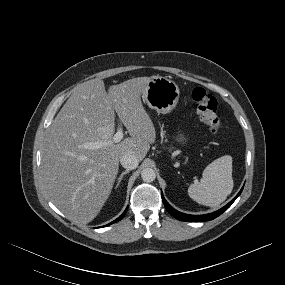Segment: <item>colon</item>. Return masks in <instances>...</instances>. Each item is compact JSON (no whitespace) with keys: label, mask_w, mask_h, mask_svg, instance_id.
Listing matches in <instances>:
<instances>
[{"label":"colon","mask_w":285,"mask_h":285,"mask_svg":"<svg viewBox=\"0 0 285 285\" xmlns=\"http://www.w3.org/2000/svg\"><path fill=\"white\" fill-rule=\"evenodd\" d=\"M192 100L199 120L211 134H217L223 123L217 115V100L205 89L197 87L192 91Z\"/></svg>","instance_id":"5ec220e1"}]
</instances>
